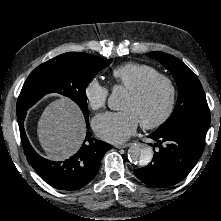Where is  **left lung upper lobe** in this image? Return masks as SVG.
<instances>
[{
  "label": "left lung upper lobe",
  "instance_id": "obj_1",
  "mask_svg": "<svg viewBox=\"0 0 221 221\" xmlns=\"http://www.w3.org/2000/svg\"><path fill=\"white\" fill-rule=\"evenodd\" d=\"M147 56L157 59L173 74L179 92L172 115L155 132L172 134L188 129L206 135L210 112L197 76L174 56L157 51L150 52Z\"/></svg>",
  "mask_w": 221,
  "mask_h": 221
}]
</instances>
